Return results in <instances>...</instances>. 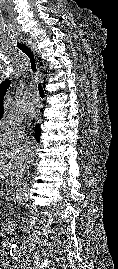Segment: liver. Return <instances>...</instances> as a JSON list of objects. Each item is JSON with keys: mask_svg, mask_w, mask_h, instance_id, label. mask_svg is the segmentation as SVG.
I'll return each instance as SVG.
<instances>
[{"mask_svg": "<svg viewBox=\"0 0 118 269\" xmlns=\"http://www.w3.org/2000/svg\"><path fill=\"white\" fill-rule=\"evenodd\" d=\"M14 133L11 129L6 130V135H0V145L4 148L0 151V179L14 170L18 175L24 173V161L26 157L25 146H14ZM6 146L10 149H6Z\"/></svg>", "mask_w": 118, "mask_h": 269, "instance_id": "6515ba94", "label": "liver"}]
</instances>
